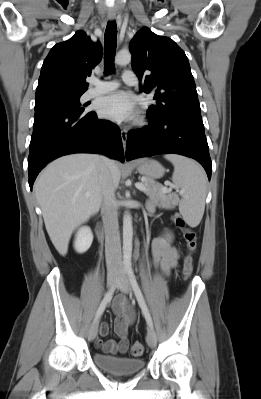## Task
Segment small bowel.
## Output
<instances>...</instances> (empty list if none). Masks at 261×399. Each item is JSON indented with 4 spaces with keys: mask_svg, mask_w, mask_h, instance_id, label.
<instances>
[{
    "mask_svg": "<svg viewBox=\"0 0 261 399\" xmlns=\"http://www.w3.org/2000/svg\"><path fill=\"white\" fill-rule=\"evenodd\" d=\"M147 207L152 211L156 207V202L153 199H149ZM179 257L180 253L176 247L168 245L161 238L153 240L152 258L154 265L160 267L165 273H169L177 265ZM113 311L116 315L114 330L119 341L116 343L113 340H97L96 345L103 353L125 354L129 348L128 329L133 324L135 315L124 296H118L115 299ZM109 331L107 323L100 325L99 334L101 337L107 336Z\"/></svg>",
    "mask_w": 261,
    "mask_h": 399,
    "instance_id": "obj_1",
    "label": "small bowel"
}]
</instances>
